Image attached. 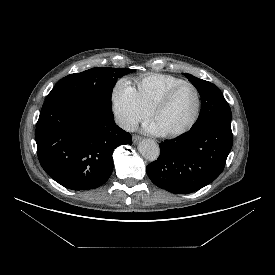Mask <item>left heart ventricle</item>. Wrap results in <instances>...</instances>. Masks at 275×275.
I'll return each instance as SVG.
<instances>
[{
  "label": "left heart ventricle",
  "mask_w": 275,
  "mask_h": 275,
  "mask_svg": "<svg viewBox=\"0 0 275 275\" xmlns=\"http://www.w3.org/2000/svg\"><path fill=\"white\" fill-rule=\"evenodd\" d=\"M196 108V95L190 86L180 87L168 105L160 110L153 121L163 133L177 131L192 119Z\"/></svg>",
  "instance_id": "left-heart-ventricle-1"
}]
</instances>
